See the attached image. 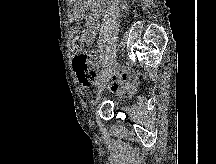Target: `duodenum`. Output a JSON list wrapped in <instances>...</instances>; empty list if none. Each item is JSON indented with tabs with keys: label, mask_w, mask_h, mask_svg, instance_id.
<instances>
[{
	"label": "duodenum",
	"mask_w": 216,
	"mask_h": 164,
	"mask_svg": "<svg viewBox=\"0 0 216 164\" xmlns=\"http://www.w3.org/2000/svg\"><path fill=\"white\" fill-rule=\"evenodd\" d=\"M105 6V0H93V10L98 13L102 11Z\"/></svg>",
	"instance_id": "duodenum-1"
}]
</instances>
